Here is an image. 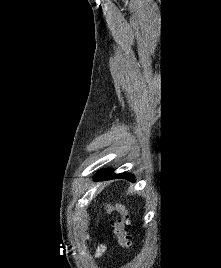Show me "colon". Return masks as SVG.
<instances>
[{"label":"colon","instance_id":"5ec220e1","mask_svg":"<svg viewBox=\"0 0 221 268\" xmlns=\"http://www.w3.org/2000/svg\"><path fill=\"white\" fill-rule=\"evenodd\" d=\"M104 209L108 213H118V219L113 223L115 233L119 239L122 248L129 252L132 247V239L128 232L130 225V215L127 208L121 204L105 203Z\"/></svg>","mask_w":221,"mask_h":268}]
</instances>
